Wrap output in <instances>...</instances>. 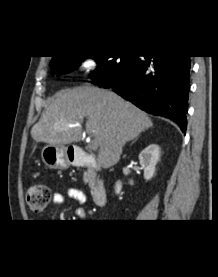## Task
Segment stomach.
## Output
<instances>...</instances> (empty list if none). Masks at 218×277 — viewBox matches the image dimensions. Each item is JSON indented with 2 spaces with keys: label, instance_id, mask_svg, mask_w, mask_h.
Instances as JSON below:
<instances>
[{
  "label": "stomach",
  "instance_id": "stomach-1",
  "mask_svg": "<svg viewBox=\"0 0 218 277\" xmlns=\"http://www.w3.org/2000/svg\"><path fill=\"white\" fill-rule=\"evenodd\" d=\"M41 157L44 164L51 169H65L70 165L67 149L63 146L47 145L42 149Z\"/></svg>",
  "mask_w": 218,
  "mask_h": 277
}]
</instances>
